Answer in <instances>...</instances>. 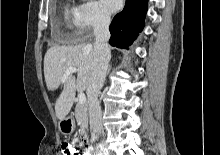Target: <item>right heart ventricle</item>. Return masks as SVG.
Returning a JSON list of instances; mask_svg holds the SVG:
<instances>
[{"label":"right heart ventricle","instance_id":"right-heart-ventricle-1","mask_svg":"<svg viewBox=\"0 0 220 155\" xmlns=\"http://www.w3.org/2000/svg\"><path fill=\"white\" fill-rule=\"evenodd\" d=\"M77 7L72 3L67 2L63 10V20L66 28L73 34H76L74 27L76 26Z\"/></svg>","mask_w":220,"mask_h":155}]
</instances>
